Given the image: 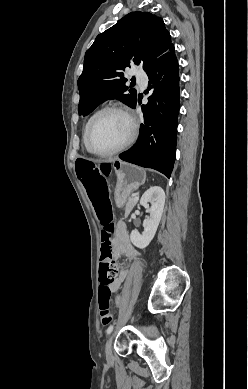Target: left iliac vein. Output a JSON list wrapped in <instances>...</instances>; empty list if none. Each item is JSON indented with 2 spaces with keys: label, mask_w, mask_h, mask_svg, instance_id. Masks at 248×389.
Listing matches in <instances>:
<instances>
[{
  "label": "left iliac vein",
  "mask_w": 248,
  "mask_h": 389,
  "mask_svg": "<svg viewBox=\"0 0 248 389\" xmlns=\"http://www.w3.org/2000/svg\"><path fill=\"white\" fill-rule=\"evenodd\" d=\"M113 338H114V335L112 334L107 342H106V345H105V355H106V360L108 362H111L112 361V343H113Z\"/></svg>",
  "instance_id": "obj_1"
}]
</instances>
